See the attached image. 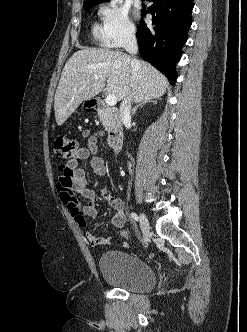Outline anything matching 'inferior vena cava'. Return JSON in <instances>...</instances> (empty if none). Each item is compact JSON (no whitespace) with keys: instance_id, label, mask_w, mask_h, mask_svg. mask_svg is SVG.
I'll return each mask as SVG.
<instances>
[{"instance_id":"obj_1","label":"inferior vena cava","mask_w":247,"mask_h":332,"mask_svg":"<svg viewBox=\"0 0 247 332\" xmlns=\"http://www.w3.org/2000/svg\"><path fill=\"white\" fill-rule=\"evenodd\" d=\"M124 49L131 55H135L138 52L137 40L135 36V30L129 29L126 33L124 44ZM132 75L136 76L138 62L136 59H133L131 62ZM131 98L125 99L120 106V118L123 123L131 119Z\"/></svg>"}]
</instances>
